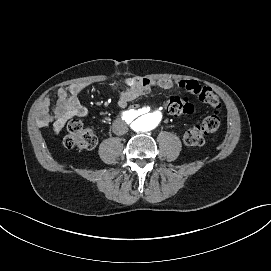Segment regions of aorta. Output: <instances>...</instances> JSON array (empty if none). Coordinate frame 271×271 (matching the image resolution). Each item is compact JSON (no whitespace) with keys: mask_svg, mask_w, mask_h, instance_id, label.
<instances>
[{"mask_svg":"<svg viewBox=\"0 0 271 271\" xmlns=\"http://www.w3.org/2000/svg\"><path fill=\"white\" fill-rule=\"evenodd\" d=\"M150 111V108H144L142 110L143 113H148ZM162 119V114L159 111L153 112V113H149L146 119V127L148 130L155 128L159 122Z\"/></svg>","mask_w":271,"mask_h":271,"instance_id":"obj_1","label":"aorta"}]
</instances>
